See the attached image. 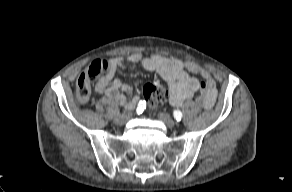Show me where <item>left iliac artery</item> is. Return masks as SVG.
Instances as JSON below:
<instances>
[{
	"label": "left iliac artery",
	"mask_w": 292,
	"mask_h": 192,
	"mask_svg": "<svg viewBox=\"0 0 292 192\" xmlns=\"http://www.w3.org/2000/svg\"><path fill=\"white\" fill-rule=\"evenodd\" d=\"M173 115H174V118L177 120V121H180L182 119V113L181 111L179 110H175L173 112Z\"/></svg>",
	"instance_id": "left-iliac-artery-1"
}]
</instances>
